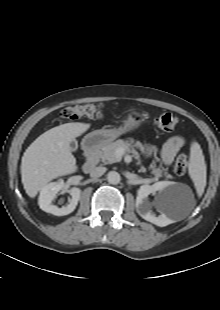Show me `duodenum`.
Masks as SVG:
<instances>
[{"label":"duodenum","mask_w":220,"mask_h":310,"mask_svg":"<svg viewBox=\"0 0 220 310\" xmlns=\"http://www.w3.org/2000/svg\"><path fill=\"white\" fill-rule=\"evenodd\" d=\"M98 162V148L95 144L87 142L85 144V161L82 170L85 173H91Z\"/></svg>","instance_id":"1"}]
</instances>
